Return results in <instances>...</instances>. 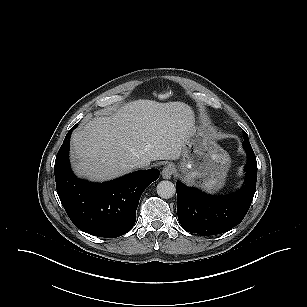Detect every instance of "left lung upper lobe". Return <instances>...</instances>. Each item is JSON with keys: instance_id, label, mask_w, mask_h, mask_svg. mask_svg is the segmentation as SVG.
Segmentation results:
<instances>
[{"instance_id": "obj_1", "label": "left lung upper lobe", "mask_w": 307, "mask_h": 307, "mask_svg": "<svg viewBox=\"0 0 307 307\" xmlns=\"http://www.w3.org/2000/svg\"><path fill=\"white\" fill-rule=\"evenodd\" d=\"M243 139H244V142H243L244 149H247V148L252 149V147L249 143L248 135L245 132L243 133Z\"/></svg>"}]
</instances>
